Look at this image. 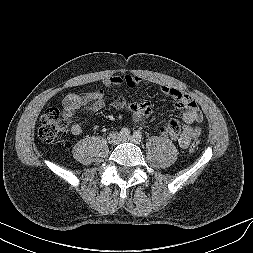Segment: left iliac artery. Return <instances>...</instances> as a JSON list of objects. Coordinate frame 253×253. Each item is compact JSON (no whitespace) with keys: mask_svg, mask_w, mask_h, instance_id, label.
<instances>
[{"mask_svg":"<svg viewBox=\"0 0 253 253\" xmlns=\"http://www.w3.org/2000/svg\"><path fill=\"white\" fill-rule=\"evenodd\" d=\"M133 136H134V138H136L139 141H141V139L143 137L142 133L140 131H138V130L133 133Z\"/></svg>","mask_w":253,"mask_h":253,"instance_id":"obj_1","label":"left iliac artery"}]
</instances>
